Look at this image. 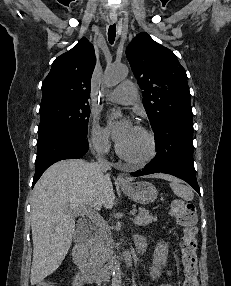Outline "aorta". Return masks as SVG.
Here are the masks:
<instances>
[{
    "label": "aorta",
    "instance_id": "1",
    "mask_svg": "<svg viewBox=\"0 0 231 286\" xmlns=\"http://www.w3.org/2000/svg\"><path fill=\"white\" fill-rule=\"evenodd\" d=\"M128 74L126 65H111L104 73V82L107 87H114L122 81ZM120 257L115 256L112 266V286H121Z\"/></svg>",
    "mask_w": 231,
    "mask_h": 286
}]
</instances>
